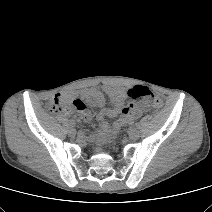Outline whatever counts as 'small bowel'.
<instances>
[{"instance_id": "1", "label": "small bowel", "mask_w": 212, "mask_h": 212, "mask_svg": "<svg viewBox=\"0 0 212 212\" xmlns=\"http://www.w3.org/2000/svg\"><path fill=\"white\" fill-rule=\"evenodd\" d=\"M56 96L67 101H70V99L74 96H79L87 103L100 108L105 105L106 102L105 96H108L112 102V106L104 111L99 112L97 115V119L101 123L98 134L102 138L109 137L118 129H120L122 126L132 123L135 119L140 117L149 108L147 102L126 104L125 100L128 96V91H126L123 88L106 86V85L85 89L77 95L63 96L61 94H57ZM75 100L81 101L80 99ZM78 111L85 120L91 119V113L85 110V107ZM105 116L109 117L119 116V119L113 124L112 127H110L109 124L105 121ZM90 137L94 138V135H90Z\"/></svg>"}]
</instances>
